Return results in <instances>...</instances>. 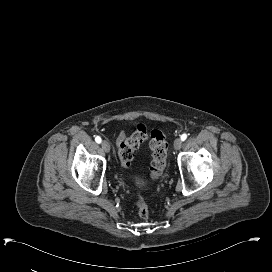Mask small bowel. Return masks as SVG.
Masks as SVG:
<instances>
[{
    "mask_svg": "<svg viewBox=\"0 0 272 272\" xmlns=\"http://www.w3.org/2000/svg\"><path fill=\"white\" fill-rule=\"evenodd\" d=\"M125 138H126V134H125V132L122 130V131H120V132L118 133V135H117V137H116V141H117V143L120 144L122 141L125 140Z\"/></svg>",
    "mask_w": 272,
    "mask_h": 272,
    "instance_id": "obj_1",
    "label": "small bowel"
}]
</instances>
